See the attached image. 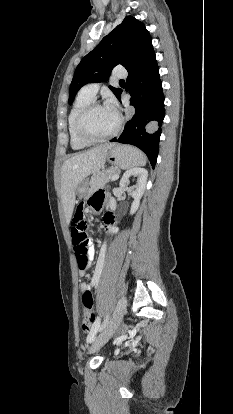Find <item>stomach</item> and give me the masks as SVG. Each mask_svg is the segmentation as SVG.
Instances as JSON below:
<instances>
[{"label": "stomach", "mask_w": 233, "mask_h": 414, "mask_svg": "<svg viewBox=\"0 0 233 414\" xmlns=\"http://www.w3.org/2000/svg\"><path fill=\"white\" fill-rule=\"evenodd\" d=\"M144 158V155L134 147L126 145H114L107 154V161L117 168H130L139 163ZM76 193L81 198H86L89 195V189L85 183L77 187Z\"/></svg>", "instance_id": "obj_1"}]
</instances>
